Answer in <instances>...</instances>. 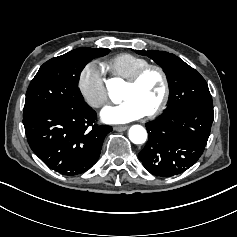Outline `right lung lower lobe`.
I'll list each match as a JSON object with an SVG mask.
<instances>
[{
  "label": "right lung lower lobe",
  "instance_id": "1",
  "mask_svg": "<svg viewBox=\"0 0 237 237\" xmlns=\"http://www.w3.org/2000/svg\"><path fill=\"white\" fill-rule=\"evenodd\" d=\"M86 103L60 104L23 115L28 143L51 169L63 175L87 171L98 160L110 126L93 124Z\"/></svg>",
  "mask_w": 237,
  "mask_h": 237
}]
</instances>
